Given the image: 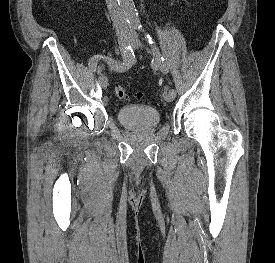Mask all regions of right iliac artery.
<instances>
[{
    "mask_svg": "<svg viewBox=\"0 0 275 263\" xmlns=\"http://www.w3.org/2000/svg\"><path fill=\"white\" fill-rule=\"evenodd\" d=\"M134 58L135 56H134L133 48L129 45L126 48V51L124 53V58L121 62H117L116 60L112 59L110 56L95 55L89 60L88 66L91 71L95 72L97 69V64L99 59H104L111 68L119 72H124L131 67L134 61Z\"/></svg>",
    "mask_w": 275,
    "mask_h": 263,
    "instance_id": "right-iliac-artery-1",
    "label": "right iliac artery"
}]
</instances>
